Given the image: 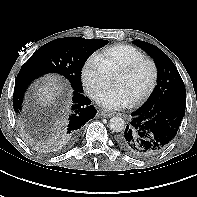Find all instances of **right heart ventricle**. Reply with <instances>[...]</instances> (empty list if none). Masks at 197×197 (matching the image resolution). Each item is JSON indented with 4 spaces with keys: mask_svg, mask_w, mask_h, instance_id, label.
<instances>
[{
    "mask_svg": "<svg viewBox=\"0 0 197 197\" xmlns=\"http://www.w3.org/2000/svg\"><path fill=\"white\" fill-rule=\"evenodd\" d=\"M95 56L111 77L115 76L120 69L127 65L145 58L142 51L128 44L109 46Z\"/></svg>",
    "mask_w": 197,
    "mask_h": 197,
    "instance_id": "right-heart-ventricle-1",
    "label": "right heart ventricle"
}]
</instances>
